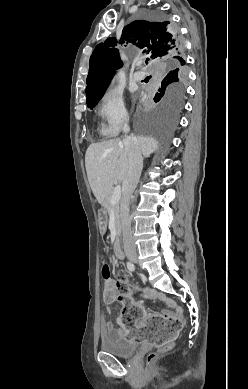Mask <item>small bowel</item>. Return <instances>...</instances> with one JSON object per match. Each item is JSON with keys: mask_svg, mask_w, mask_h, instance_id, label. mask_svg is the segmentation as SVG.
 Masks as SVG:
<instances>
[{"mask_svg": "<svg viewBox=\"0 0 248 389\" xmlns=\"http://www.w3.org/2000/svg\"><path fill=\"white\" fill-rule=\"evenodd\" d=\"M110 286H113V285H110ZM128 290H129V292H139L140 287H139V285H129ZM143 297L157 299L159 301L164 302L168 308V310L166 312H164V316L182 317V308L177 306L174 300L166 297L165 294L158 292L156 290H153V289H146L144 291ZM115 301L116 300L111 301V302L104 301L106 303V311L107 312L111 311L110 304L115 302ZM150 315L151 314H146V316L144 317V320L146 318H148ZM141 324H142V322H139L138 325L140 326ZM100 329H101V335L112 334L114 332H117L118 334L125 337V336H127L128 333H130V332L124 331V330H117L116 331L113 327V324L110 321H102Z\"/></svg>", "mask_w": 248, "mask_h": 389, "instance_id": "obj_1", "label": "small bowel"}]
</instances>
